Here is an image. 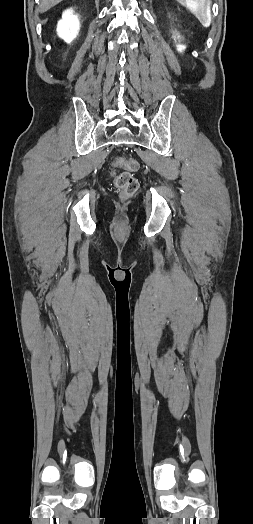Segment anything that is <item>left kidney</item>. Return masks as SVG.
I'll return each mask as SVG.
<instances>
[{"label":"left kidney","mask_w":253,"mask_h":524,"mask_svg":"<svg viewBox=\"0 0 253 524\" xmlns=\"http://www.w3.org/2000/svg\"><path fill=\"white\" fill-rule=\"evenodd\" d=\"M178 37H179V36H178ZM185 48H186V47H185L184 45H181V44H178V45H177V50H178L179 52H182Z\"/></svg>","instance_id":"5707ae66"}]
</instances>
